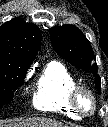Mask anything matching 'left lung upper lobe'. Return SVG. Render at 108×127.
Wrapping results in <instances>:
<instances>
[{
  "instance_id": "1",
  "label": "left lung upper lobe",
  "mask_w": 108,
  "mask_h": 127,
  "mask_svg": "<svg viewBox=\"0 0 108 127\" xmlns=\"http://www.w3.org/2000/svg\"><path fill=\"white\" fill-rule=\"evenodd\" d=\"M50 36L54 50L61 57L76 67L94 74L95 85L100 93V77L96 64H93L95 55L84 34L75 26L63 25L53 27Z\"/></svg>"
}]
</instances>
